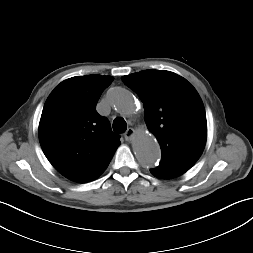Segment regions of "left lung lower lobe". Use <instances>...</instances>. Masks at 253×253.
<instances>
[{"mask_svg": "<svg viewBox=\"0 0 253 253\" xmlns=\"http://www.w3.org/2000/svg\"><path fill=\"white\" fill-rule=\"evenodd\" d=\"M189 168L185 167H176V166H168V165H159L155 169H151L150 172L152 175L162 179H170L175 178L177 176L185 173Z\"/></svg>", "mask_w": 253, "mask_h": 253, "instance_id": "1", "label": "left lung lower lobe"}]
</instances>
